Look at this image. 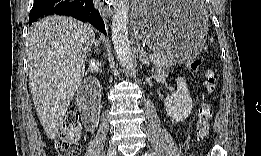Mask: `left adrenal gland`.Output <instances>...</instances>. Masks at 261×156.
I'll return each instance as SVG.
<instances>
[{"instance_id":"left-adrenal-gland-1","label":"left adrenal gland","mask_w":261,"mask_h":156,"mask_svg":"<svg viewBox=\"0 0 261 156\" xmlns=\"http://www.w3.org/2000/svg\"><path fill=\"white\" fill-rule=\"evenodd\" d=\"M137 51L139 52V58L140 61L142 62V64L145 65H150V61L146 55V52L144 51V49L137 43Z\"/></svg>"}]
</instances>
